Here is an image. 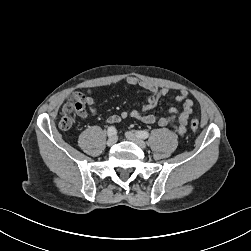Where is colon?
<instances>
[{"label": "colon", "instance_id": "5ec220e1", "mask_svg": "<svg viewBox=\"0 0 251 251\" xmlns=\"http://www.w3.org/2000/svg\"><path fill=\"white\" fill-rule=\"evenodd\" d=\"M75 113L79 117L85 116V110L82 98L80 96H76L72 98L71 102H68L62 110V117L59 122L60 128L67 130L72 125L71 114ZM200 123L197 119H192L190 122V127L193 131H197L199 129Z\"/></svg>", "mask_w": 251, "mask_h": 251}]
</instances>
